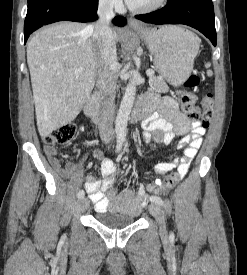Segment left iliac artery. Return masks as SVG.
Listing matches in <instances>:
<instances>
[{
  "instance_id": "left-iliac-artery-1",
  "label": "left iliac artery",
  "mask_w": 247,
  "mask_h": 275,
  "mask_svg": "<svg viewBox=\"0 0 247 275\" xmlns=\"http://www.w3.org/2000/svg\"><path fill=\"white\" fill-rule=\"evenodd\" d=\"M150 201L151 202H156L158 203L159 205H164V201L161 199V197L159 196H151L150 197Z\"/></svg>"
}]
</instances>
